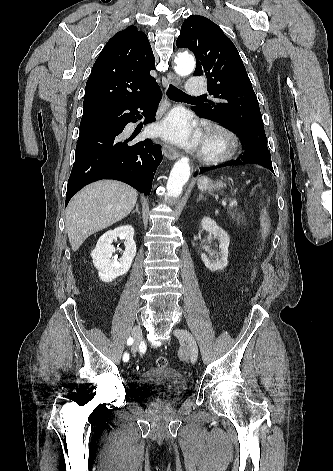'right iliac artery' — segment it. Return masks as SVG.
<instances>
[{"label":"right iliac artery","mask_w":333,"mask_h":471,"mask_svg":"<svg viewBox=\"0 0 333 471\" xmlns=\"http://www.w3.org/2000/svg\"><path fill=\"white\" fill-rule=\"evenodd\" d=\"M132 344H133V338L129 337L128 340H127V345L130 346ZM123 360H124V362H127L129 360V354L127 352L124 353Z\"/></svg>","instance_id":"82829eb1"}]
</instances>
